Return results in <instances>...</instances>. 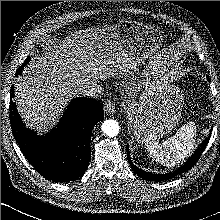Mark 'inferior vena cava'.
<instances>
[{"mask_svg": "<svg viewBox=\"0 0 220 220\" xmlns=\"http://www.w3.org/2000/svg\"><path fill=\"white\" fill-rule=\"evenodd\" d=\"M103 91L104 90L101 85L94 83V84L85 86L81 91V95L85 97L97 98L103 95Z\"/></svg>", "mask_w": 220, "mask_h": 220, "instance_id": "obj_1", "label": "inferior vena cava"}]
</instances>
